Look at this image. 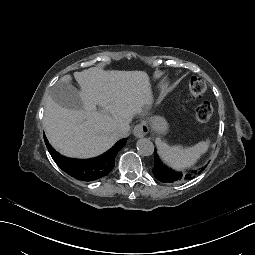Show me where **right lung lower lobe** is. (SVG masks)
Instances as JSON below:
<instances>
[{
    "label": "right lung lower lobe",
    "instance_id": "right-lung-lower-lobe-1",
    "mask_svg": "<svg viewBox=\"0 0 255 255\" xmlns=\"http://www.w3.org/2000/svg\"><path fill=\"white\" fill-rule=\"evenodd\" d=\"M83 178L87 181L94 178V166L92 164H85L83 166Z\"/></svg>",
    "mask_w": 255,
    "mask_h": 255
}]
</instances>
